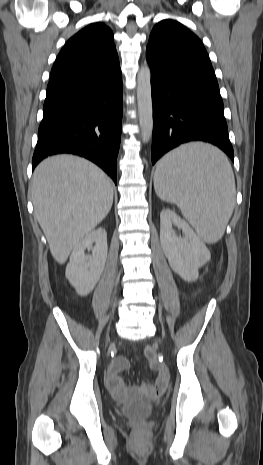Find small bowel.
I'll list each match as a JSON object with an SVG mask.
<instances>
[{"label":"small bowel","mask_w":263,"mask_h":465,"mask_svg":"<svg viewBox=\"0 0 263 465\" xmlns=\"http://www.w3.org/2000/svg\"><path fill=\"white\" fill-rule=\"evenodd\" d=\"M128 365L129 363L127 359L120 357L115 359L108 367L107 386L112 395L117 400L124 401L142 394L158 395L165 390L168 381V375L167 372L162 368L158 369V376L154 384H145L141 388H127L124 385V381L120 373L125 370Z\"/></svg>","instance_id":"obj_1"}]
</instances>
